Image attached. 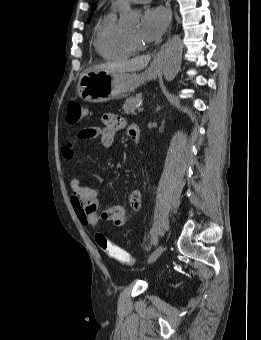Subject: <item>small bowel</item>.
<instances>
[{
  "instance_id": "1",
  "label": "small bowel",
  "mask_w": 261,
  "mask_h": 340,
  "mask_svg": "<svg viewBox=\"0 0 261 340\" xmlns=\"http://www.w3.org/2000/svg\"><path fill=\"white\" fill-rule=\"evenodd\" d=\"M126 127L125 120L114 114H104L101 117V125L86 127L81 129L77 135L78 140L99 138L103 147L110 148L114 143L115 134L118 130ZM127 132L133 140L137 136L140 140V130L136 124L127 127ZM139 142V141H138ZM136 142V143H138ZM75 140H71L63 145L62 155L66 160H72L75 156ZM70 201L73 209L84 226L94 227L101 221L111 222L115 226H123L129 219V214L125 207L121 205L100 209L99 191L83 186L78 177H73L70 181ZM141 192L134 190L129 196V204L134 211L141 207Z\"/></svg>"
}]
</instances>
